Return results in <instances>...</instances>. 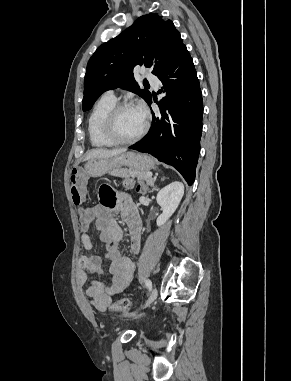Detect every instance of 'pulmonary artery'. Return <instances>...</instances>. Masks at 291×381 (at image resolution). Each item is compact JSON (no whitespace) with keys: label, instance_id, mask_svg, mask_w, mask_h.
I'll return each mask as SVG.
<instances>
[{"label":"pulmonary artery","instance_id":"e3ab8cb5","mask_svg":"<svg viewBox=\"0 0 291 381\" xmlns=\"http://www.w3.org/2000/svg\"><path fill=\"white\" fill-rule=\"evenodd\" d=\"M144 74H145L147 80H148L150 83H152L154 86H158V84H159V80H158L154 75H152L150 71L146 70V71L144 72ZM104 96L109 97V98L116 99L115 93H114V91H112V90L107 91V92L104 94Z\"/></svg>","mask_w":291,"mask_h":381}]
</instances>
